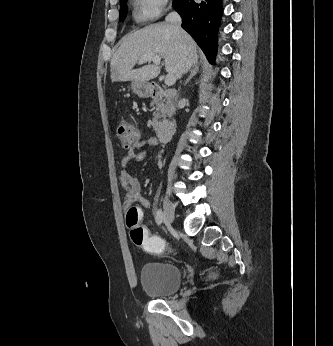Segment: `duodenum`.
I'll list each match as a JSON object with an SVG mask.
<instances>
[{
	"label": "duodenum",
	"instance_id": "duodenum-1",
	"mask_svg": "<svg viewBox=\"0 0 333 346\" xmlns=\"http://www.w3.org/2000/svg\"><path fill=\"white\" fill-rule=\"evenodd\" d=\"M150 95L155 99H167L173 100L177 97V91L173 89H164L160 86L153 85L150 88ZM169 113H173V107L170 105L167 107ZM176 122L171 120L165 124H162L157 128V138L160 142L168 141L175 131Z\"/></svg>",
	"mask_w": 333,
	"mask_h": 346
}]
</instances>
